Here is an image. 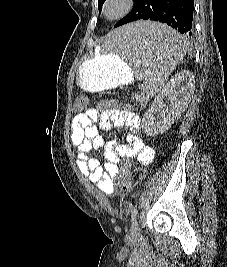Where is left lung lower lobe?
Segmentation results:
<instances>
[{
  "label": "left lung lower lobe",
  "mask_w": 227,
  "mask_h": 267,
  "mask_svg": "<svg viewBox=\"0 0 227 267\" xmlns=\"http://www.w3.org/2000/svg\"><path fill=\"white\" fill-rule=\"evenodd\" d=\"M193 12L194 0H134L132 11L114 27L137 20H153L165 23L188 37L194 32ZM148 44L165 47L172 45L169 41L151 37L148 38Z\"/></svg>",
  "instance_id": "0a47b994"
}]
</instances>
